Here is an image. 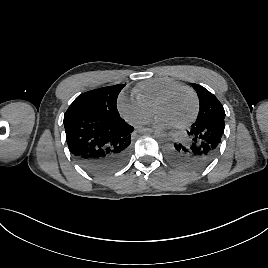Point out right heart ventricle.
I'll use <instances>...</instances> for the list:
<instances>
[{
	"label": "right heart ventricle",
	"instance_id": "right-heart-ventricle-1",
	"mask_svg": "<svg viewBox=\"0 0 268 268\" xmlns=\"http://www.w3.org/2000/svg\"><path fill=\"white\" fill-rule=\"evenodd\" d=\"M177 85H180V83L175 80L156 77L138 83L133 89V94L137 100L143 102L152 109L156 101L166 91Z\"/></svg>",
	"mask_w": 268,
	"mask_h": 268
}]
</instances>
